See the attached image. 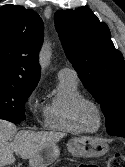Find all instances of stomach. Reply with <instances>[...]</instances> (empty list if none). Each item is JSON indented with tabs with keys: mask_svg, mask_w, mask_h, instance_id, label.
<instances>
[{
	"mask_svg": "<svg viewBox=\"0 0 125 167\" xmlns=\"http://www.w3.org/2000/svg\"><path fill=\"white\" fill-rule=\"evenodd\" d=\"M68 152L75 157L91 158L104 155L108 151L107 144L98 138L75 137L67 142ZM60 155L57 144L43 148L29 160L30 167H48Z\"/></svg>",
	"mask_w": 125,
	"mask_h": 167,
	"instance_id": "stomach-1",
	"label": "stomach"
}]
</instances>
